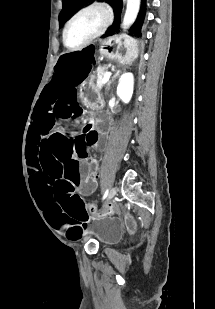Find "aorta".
I'll use <instances>...</instances> for the list:
<instances>
[{"label": "aorta", "mask_w": 215, "mask_h": 309, "mask_svg": "<svg viewBox=\"0 0 215 309\" xmlns=\"http://www.w3.org/2000/svg\"><path fill=\"white\" fill-rule=\"evenodd\" d=\"M140 0H128L122 28H129L139 12Z\"/></svg>", "instance_id": "762f6f07"}]
</instances>
